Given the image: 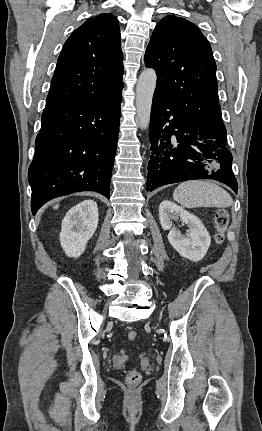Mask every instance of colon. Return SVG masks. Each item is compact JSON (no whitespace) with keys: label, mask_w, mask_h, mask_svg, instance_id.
Segmentation results:
<instances>
[{"label":"colon","mask_w":262,"mask_h":431,"mask_svg":"<svg viewBox=\"0 0 262 431\" xmlns=\"http://www.w3.org/2000/svg\"><path fill=\"white\" fill-rule=\"evenodd\" d=\"M228 223H229V216H228L227 211L224 209L217 210V212L215 214L214 224H215V228H216V240L218 242L222 241L223 236H224V232L228 226ZM137 337H138L137 331L131 330L128 332V338L130 340H134ZM126 380L130 385H136L140 382L141 375L136 370H130L127 373V379Z\"/></svg>","instance_id":"obj_1"}]
</instances>
